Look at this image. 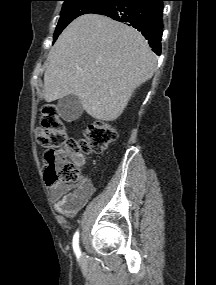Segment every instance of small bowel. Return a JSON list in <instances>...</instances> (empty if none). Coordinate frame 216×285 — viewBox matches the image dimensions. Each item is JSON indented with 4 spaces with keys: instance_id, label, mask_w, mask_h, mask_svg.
I'll return each instance as SVG.
<instances>
[{
    "instance_id": "c3829d8e",
    "label": "small bowel",
    "mask_w": 216,
    "mask_h": 285,
    "mask_svg": "<svg viewBox=\"0 0 216 285\" xmlns=\"http://www.w3.org/2000/svg\"><path fill=\"white\" fill-rule=\"evenodd\" d=\"M84 162V157L79 155L78 166H83ZM94 190V186L88 181L82 182L73 190L64 183L49 185V192L55 201L56 210L69 217L77 214L86 205Z\"/></svg>"
}]
</instances>
